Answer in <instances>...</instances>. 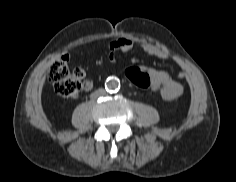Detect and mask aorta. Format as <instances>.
<instances>
[{
  "label": "aorta",
  "mask_w": 236,
  "mask_h": 182,
  "mask_svg": "<svg viewBox=\"0 0 236 182\" xmlns=\"http://www.w3.org/2000/svg\"><path fill=\"white\" fill-rule=\"evenodd\" d=\"M105 89L108 92H117L120 89V81L117 78H108L105 83Z\"/></svg>",
  "instance_id": "762f6f07"
}]
</instances>
